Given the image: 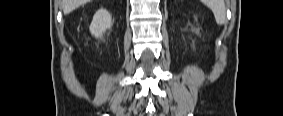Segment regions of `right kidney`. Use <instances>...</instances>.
<instances>
[{
	"instance_id": "1",
	"label": "right kidney",
	"mask_w": 283,
	"mask_h": 116,
	"mask_svg": "<svg viewBox=\"0 0 283 116\" xmlns=\"http://www.w3.org/2000/svg\"><path fill=\"white\" fill-rule=\"evenodd\" d=\"M112 26V17L106 9H99L91 22L89 27L90 32L96 38H99L103 35L106 29H110Z\"/></svg>"
}]
</instances>
